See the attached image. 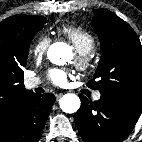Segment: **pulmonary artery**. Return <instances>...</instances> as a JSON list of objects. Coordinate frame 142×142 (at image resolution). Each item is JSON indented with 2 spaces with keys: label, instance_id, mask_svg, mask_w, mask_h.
Instances as JSON below:
<instances>
[{
  "label": "pulmonary artery",
  "instance_id": "e3ab8cb5",
  "mask_svg": "<svg viewBox=\"0 0 142 142\" xmlns=\"http://www.w3.org/2000/svg\"><path fill=\"white\" fill-rule=\"evenodd\" d=\"M41 81L39 78L31 77L25 80V87L27 89H33L35 87H38L40 85ZM94 100H99L100 99V93H95L94 94Z\"/></svg>",
  "mask_w": 142,
  "mask_h": 142
}]
</instances>
